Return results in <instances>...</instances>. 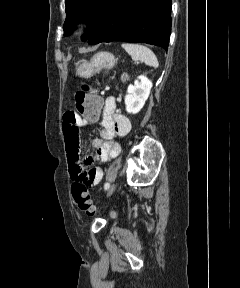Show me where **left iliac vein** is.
I'll use <instances>...</instances> for the list:
<instances>
[{"label": "left iliac vein", "mask_w": 240, "mask_h": 288, "mask_svg": "<svg viewBox=\"0 0 240 288\" xmlns=\"http://www.w3.org/2000/svg\"><path fill=\"white\" fill-rule=\"evenodd\" d=\"M114 190H115V184H112L108 189L107 197L111 196L113 194Z\"/></svg>", "instance_id": "left-iliac-vein-1"}]
</instances>
